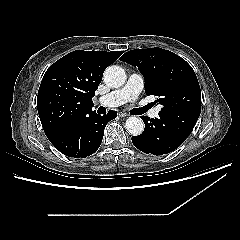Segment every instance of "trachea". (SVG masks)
I'll list each match as a JSON object with an SVG mask.
<instances>
[{
	"label": "trachea",
	"mask_w": 240,
	"mask_h": 240,
	"mask_svg": "<svg viewBox=\"0 0 240 240\" xmlns=\"http://www.w3.org/2000/svg\"><path fill=\"white\" fill-rule=\"evenodd\" d=\"M103 107H100V109H102ZM148 107H143V108H135V109H132L130 112L131 114H135V115H141L143 114L145 111H147ZM101 111V110H100Z\"/></svg>",
	"instance_id": "trachea-1"
}]
</instances>
